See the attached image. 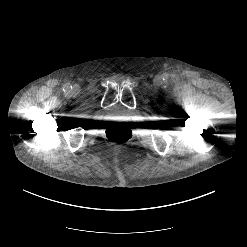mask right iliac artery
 <instances>
[{
    "label": "right iliac artery",
    "mask_w": 247,
    "mask_h": 247,
    "mask_svg": "<svg viewBox=\"0 0 247 247\" xmlns=\"http://www.w3.org/2000/svg\"><path fill=\"white\" fill-rule=\"evenodd\" d=\"M69 89H70V85H69V84H65L63 90H64V91H67V90H69Z\"/></svg>",
    "instance_id": "1"
}]
</instances>
